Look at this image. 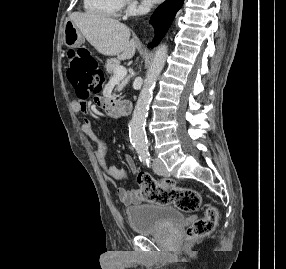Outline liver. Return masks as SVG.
<instances>
[{
  "label": "liver",
  "mask_w": 286,
  "mask_h": 269,
  "mask_svg": "<svg viewBox=\"0 0 286 269\" xmlns=\"http://www.w3.org/2000/svg\"><path fill=\"white\" fill-rule=\"evenodd\" d=\"M69 19L99 53L117 55L120 60L131 59L135 55L137 43L130 40V29L125 24L95 13L74 12Z\"/></svg>",
  "instance_id": "6515ba94"
}]
</instances>
